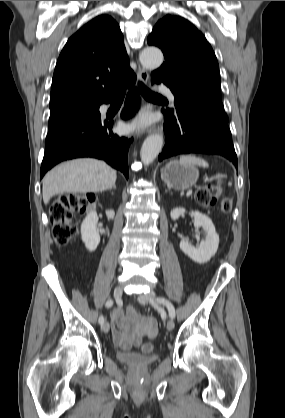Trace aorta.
<instances>
[{"instance_id":"aorta-1","label":"aorta","mask_w":285,"mask_h":418,"mask_svg":"<svg viewBox=\"0 0 285 418\" xmlns=\"http://www.w3.org/2000/svg\"><path fill=\"white\" fill-rule=\"evenodd\" d=\"M140 62L143 67L156 69L163 62V54L158 48H145L140 54ZM163 146V137L159 134L151 135L145 139L141 147L140 157L145 165L151 164Z\"/></svg>"}]
</instances>
